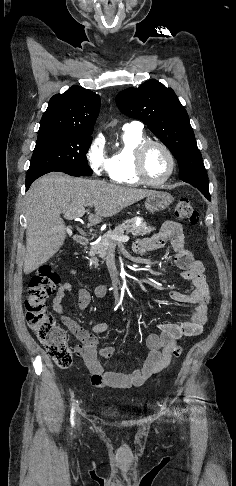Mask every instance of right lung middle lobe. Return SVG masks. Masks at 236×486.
Wrapping results in <instances>:
<instances>
[{
  "instance_id": "right-lung-middle-lobe-1",
  "label": "right lung middle lobe",
  "mask_w": 236,
  "mask_h": 486,
  "mask_svg": "<svg viewBox=\"0 0 236 486\" xmlns=\"http://www.w3.org/2000/svg\"><path fill=\"white\" fill-rule=\"evenodd\" d=\"M91 142V134L39 131L27 175L41 171L91 175L92 170L86 159Z\"/></svg>"
}]
</instances>
